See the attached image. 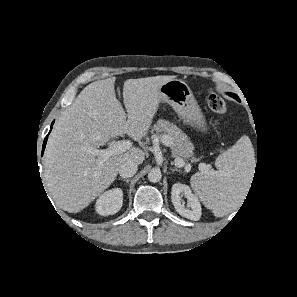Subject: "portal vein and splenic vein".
Listing matches in <instances>:
<instances>
[{
    "mask_svg": "<svg viewBox=\"0 0 297 297\" xmlns=\"http://www.w3.org/2000/svg\"><path fill=\"white\" fill-rule=\"evenodd\" d=\"M161 142L163 145H165L166 147L170 146V142L168 140V136L164 135L161 138ZM132 147V143L129 141H117L115 142V144H113L112 146H110L107 149H103V150H99V149H94L91 152L97 156H99V163L102 164L104 163L109 157L116 155V154H120L123 153L127 150H129ZM175 162L177 164H179L181 167L185 168L186 172H190L191 170V165L190 164H186L185 161L181 158L175 160ZM199 170L202 172H210L213 173L212 171H210V166L206 165L204 163H199L198 164Z\"/></svg>",
    "mask_w": 297,
    "mask_h": 297,
    "instance_id": "obj_1",
    "label": "portal vein and splenic vein"
}]
</instances>
